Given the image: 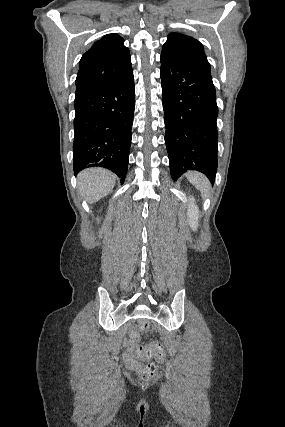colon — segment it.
<instances>
[{
	"mask_svg": "<svg viewBox=\"0 0 285 427\" xmlns=\"http://www.w3.org/2000/svg\"><path fill=\"white\" fill-rule=\"evenodd\" d=\"M138 326L140 330L146 331L150 327V324L145 321H139ZM137 352L139 358L135 362V367L138 375L143 380H149L155 374L154 364L149 362V359L155 358L162 360L165 357V351L161 343L151 342L144 347L132 349Z\"/></svg>",
	"mask_w": 285,
	"mask_h": 427,
	"instance_id": "obj_1",
	"label": "colon"
}]
</instances>
